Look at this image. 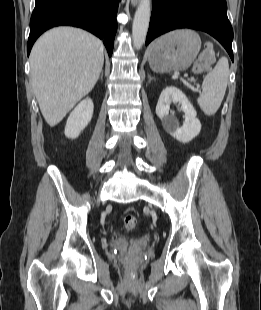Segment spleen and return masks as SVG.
I'll use <instances>...</instances> for the list:
<instances>
[{
    "instance_id": "1",
    "label": "spleen",
    "mask_w": 261,
    "mask_h": 310,
    "mask_svg": "<svg viewBox=\"0 0 261 310\" xmlns=\"http://www.w3.org/2000/svg\"><path fill=\"white\" fill-rule=\"evenodd\" d=\"M229 77V64L226 57H221L202 82V92L197 102L207 116L214 115L225 95Z\"/></svg>"
}]
</instances>
